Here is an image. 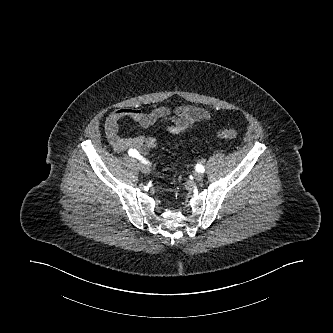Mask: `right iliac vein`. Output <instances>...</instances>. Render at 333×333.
Instances as JSON below:
<instances>
[{
	"label": "right iliac vein",
	"instance_id": "obj_1",
	"mask_svg": "<svg viewBox=\"0 0 333 333\" xmlns=\"http://www.w3.org/2000/svg\"><path fill=\"white\" fill-rule=\"evenodd\" d=\"M138 165H139V168H140V170H141L142 173L149 174L150 169H149V167L146 164H144V163L141 162Z\"/></svg>",
	"mask_w": 333,
	"mask_h": 333
}]
</instances>
